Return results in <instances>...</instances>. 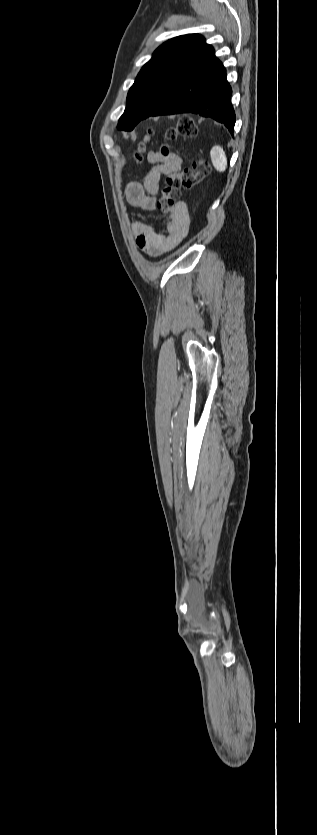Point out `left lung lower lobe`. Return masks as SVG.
I'll list each match as a JSON object with an SVG mask.
<instances>
[{"mask_svg":"<svg viewBox=\"0 0 317 835\" xmlns=\"http://www.w3.org/2000/svg\"><path fill=\"white\" fill-rule=\"evenodd\" d=\"M232 89L223 64L209 45L184 71L167 99L151 116L193 113L224 124L234 131Z\"/></svg>","mask_w":317,"mask_h":835,"instance_id":"obj_1","label":"left lung lower lobe"}]
</instances>
